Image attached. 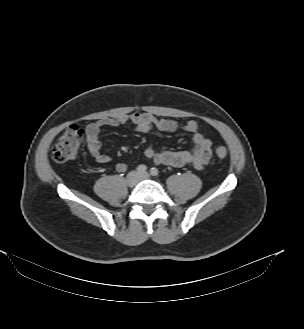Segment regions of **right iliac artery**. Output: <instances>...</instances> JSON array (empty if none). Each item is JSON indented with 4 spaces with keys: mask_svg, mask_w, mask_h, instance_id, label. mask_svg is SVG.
Instances as JSON below:
<instances>
[{
    "mask_svg": "<svg viewBox=\"0 0 304 329\" xmlns=\"http://www.w3.org/2000/svg\"><path fill=\"white\" fill-rule=\"evenodd\" d=\"M136 170H137V172L138 173H140V174H142V173H145L146 172V170H147V166H145V165H139L137 168H136Z\"/></svg>",
    "mask_w": 304,
    "mask_h": 329,
    "instance_id": "obj_1",
    "label": "right iliac artery"
}]
</instances>
